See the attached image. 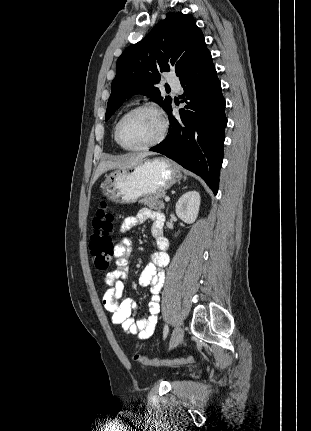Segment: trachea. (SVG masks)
Listing matches in <instances>:
<instances>
[{
    "mask_svg": "<svg viewBox=\"0 0 311 431\" xmlns=\"http://www.w3.org/2000/svg\"><path fill=\"white\" fill-rule=\"evenodd\" d=\"M165 88H166V91H167V90H170V87H165Z\"/></svg>",
    "mask_w": 311,
    "mask_h": 431,
    "instance_id": "obj_1",
    "label": "trachea"
}]
</instances>
